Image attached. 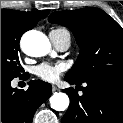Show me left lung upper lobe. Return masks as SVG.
Instances as JSON below:
<instances>
[{"label": "left lung upper lobe", "instance_id": "5c2ea615", "mask_svg": "<svg viewBox=\"0 0 123 123\" xmlns=\"http://www.w3.org/2000/svg\"><path fill=\"white\" fill-rule=\"evenodd\" d=\"M49 22L69 28L80 47L74 66L65 77L85 82L107 75L123 76V29L97 8L54 12Z\"/></svg>", "mask_w": 123, "mask_h": 123}]
</instances>
